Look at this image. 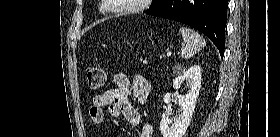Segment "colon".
Returning <instances> with one entry per match:
<instances>
[{
    "label": "colon",
    "mask_w": 280,
    "mask_h": 137,
    "mask_svg": "<svg viewBox=\"0 0 280 137\" xmlns=\"http://www.w3.org/2000/svg\"><path fill=\"white\" fill-rule=\"evenodd\" d=\"M106 82V72L101 67H93L87 71L86 74V84L87 87L96 91L104 86Z\"/></svg>",
    "instance_id": "obj_1"
}]
</instances>
